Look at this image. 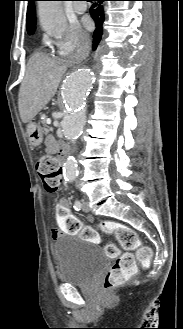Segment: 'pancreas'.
I'll list each match as a JSON object with an SVG mask.
<instances>
[{
	"instance_id": "cf45deb5",
	"label": "pancreas",
	"mask_w": 183,
	"mask_h": 329,
	"mask_svg": "<svg viewBox=\"0 0 183 329\" xmlns=\"http://www.w3.org/2000/svg\"><path fill=\"white\" fill-rule=\"evenodd\" d=\"M41 123L43 124V126H44V131L46 132V133H48L49 131H50V129H49V127L47 126V124H46V117H44L42 120H41Z\"/></svg>"
}]
</instances>
